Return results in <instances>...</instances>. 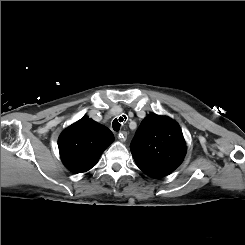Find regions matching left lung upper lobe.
<instances>
[{
	"label": "left lung upper lobe",
	"mask_w": 245,
	"mask_h": 245,
	"mask_svg": "<svg viewBox=\"0 0 245 245\" xmlns=\"http://www.w3.org/2000/svg\"><path fill=\"white\" fill-rule=\"evenodd\" d=\"M130 149L137 166L145 174L162 178L182 163L187 147L176 121L150 114L142 120Z\"/></svg>",
	"instance_id": "1"
}]
</instances>
